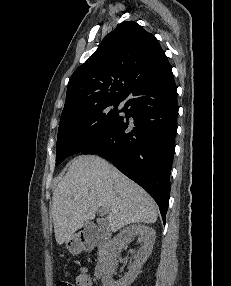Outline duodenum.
Returning a JSON list of instances; mask_svg holds the SVG:
<instances>
[{"label":"duodenum","mask_w":231,"mask_h":286,"mask_svg":"<svg viewBox=\"0 0 231 286\" xmlns=\"http://www.w3.org/2000/svg\"><path fill=\"white\" fill-rule=\"evenodd\" d=\"M79 246L84 251L96 250L95 276L102 278L107 268L109 237L103 234L97 236L82 235Z\"/></svg>","instance_id":"410a0bca"}]
</instances>
